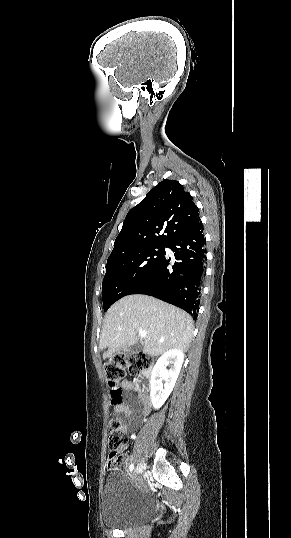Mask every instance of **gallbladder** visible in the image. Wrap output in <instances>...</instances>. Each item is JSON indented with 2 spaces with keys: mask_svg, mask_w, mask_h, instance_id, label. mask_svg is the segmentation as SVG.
Wrapping results in <instances>:
<instances>
[{
  "mask_svg": "<svg viewBox=\"0 0 291 538\" xmlns=\"http://www.w3.org/2000/svg\"><path fill=\"white\" fill-rule=\"evenodd\" d=\"M142 347H143V345L140 342H138V343L134 344L133 346H131L130 350H131L132 353H136V352L142 350Z\"/></svg>",
  "mask_w": 291,
  "mask_h": 538,
  "instance_id": "obj_1",
  "label": "gallbladder"
}]
</instances>
